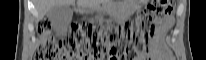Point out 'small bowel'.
Here are the masks:
<instances>
[{"label":"small bowel","mask_w":206,"mask_h":60,"mask_svg":"<svg viewBox=\"0 0 206 60\" xmlns=\"http://www.w3.org/2000/svg\"><path fill=\"white\" fill-rule=\"evenodd\" d=\"M168 25H163L155 30L154 38L152 41V48L149 54L151 60H172V56L163 43V36L166 32ZM146 58H138L137 60H144Z\"/></svg>","instance_id":"small-bowel-1"}]
</instances>
